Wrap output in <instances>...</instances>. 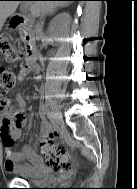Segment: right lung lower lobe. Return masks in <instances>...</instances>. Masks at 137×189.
Here are the masks:
<instances>
[{
	"instance_id": "right-lung-lower-lobe-1",
	"label": "right lung lower lobe",
	"mask_w": 137,
	"mask_h": 189,
	"mask_svg": "<svg viewBox=\"0 0 137 189\" xmlns=\"http://www.w3.org/2000/svg\"><path fill=\"white\" fill-rule=\"evenodd\" d=\"M70 1H78V0H70Z\"/></svg>"
}]
</instances>
